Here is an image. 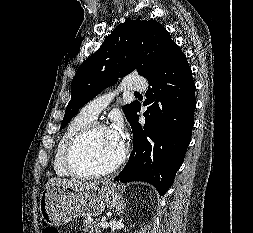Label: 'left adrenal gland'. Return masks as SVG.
Listing matches in <instances>:
<instances>
[{
    "instance_id": "left-adrenal-gland-1",
    "label": "left adrenal gland",
    "mask_w": 253,
    "mask_h": 233,
    "mask_svg": "<svg viewBox=\"0 0 253 233\" xmlns=\"http://www.w3.org/2000/svg\"><path fill=\"white\" fill-rule=\"evenodd\" d=\"M125 206H126V203H120V204L116 207L117 215H120L121 213L124 212Z\"/></svg>"
}]
</instances>
